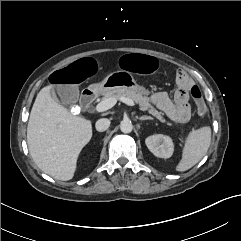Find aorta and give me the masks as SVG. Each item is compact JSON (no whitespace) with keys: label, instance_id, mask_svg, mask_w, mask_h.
Returning <instances> with one entry per match:
<instances>
[{"label":"aorta","instance_id":"1","mask_svg":"<svg viewBox=\"0 0 241 241\" xmlns=\"http://www.w3.org/2000/svg\"><path fill=\"white\" fill-rule=\"evenodd\" d=\"M120 130L125 134L132 132L133 125H132L131 121L130 120H123L120 123Z\"/></svg>","mask_w":241,"mask_h":241}]
</instances>
